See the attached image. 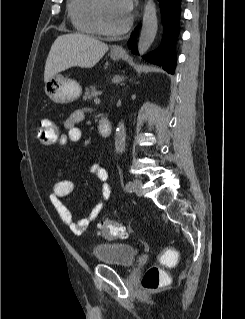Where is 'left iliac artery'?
<instances>
[{
    "label": "left iliac artery",
    "instance_id": "obj_1",
    "mask_svg": "<svg viewBox=\"0 0 245 319\" xmlns=\"http://www.w3.org/2000/svg\"><path fill=\"white\" fill-rule=\"evenodd\" d=\"M125 188H126L127 191L132 192L133 183L132 182H127Z\"/></svg>",
    "mask_w": 245,
    "mask_h": 319
}]
</instances>
